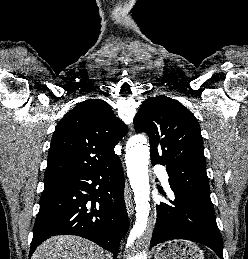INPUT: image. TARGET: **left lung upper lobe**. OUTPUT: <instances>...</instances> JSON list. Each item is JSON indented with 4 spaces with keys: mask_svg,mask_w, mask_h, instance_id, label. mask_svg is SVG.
Here are the masks:
<instances>
[{
    "mask_svg": "<svg viewBox=\"0 0 248 259\" xmlns=\"http://www.w3.org/2000/svg\"><path fill=\"white\" fill-rule=\"evenodd\" d=\"M133 122L149 136L152 164L166 166L171 187L210 197L200 126L185 106L164 95L151 97Z\"/></svg>",
    "mask_w": 248,
    "mask_h": 259,
    "instance_id": "5c2ea615",
    "label": "left lung upper lobe"
}]
</instances>
